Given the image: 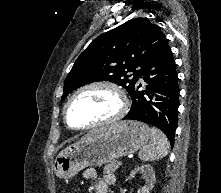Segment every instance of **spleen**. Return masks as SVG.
I'll use <instances>...</instances> for the list:
<instances>
[{
    "mask_svg": "<svg viewBox=\"0 0 221 193\" xmlns=\"http://www.w3.org/2000/svg\"><path fill=\"white\" fill-rule=\"evenodd\" d=\"M169 142L165 134L157 129L151 128V141L139 151L142 161H155L167 156Z\"/></svg>",
    "mask_w": 221,
    "mask_h": 193,
    "instance_id": "obj_1",
    "label": "spleen"
}]
</instances>
